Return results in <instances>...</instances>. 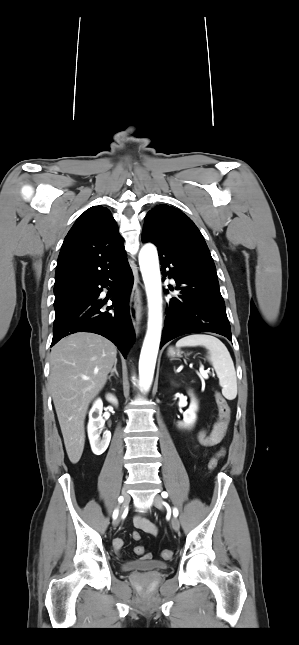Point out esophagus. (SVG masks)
<instances>
[{"instance_id":"esophagus-1","label":"esophagus","mask_w":299,"mask_h":645,"mask_svg":"<svg viewBox=\"0 0 299 645\" xmlns=\"http://www.w3.org/2000/svg\"><path fill=\"white\" fill-rule=\"evenodd\" d=\"M130 316L136 334H139L140 320L142 316L141 292L137 285H134L130 297Z\"/></svg>"}]
</instances>
